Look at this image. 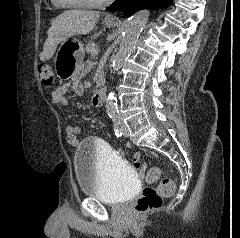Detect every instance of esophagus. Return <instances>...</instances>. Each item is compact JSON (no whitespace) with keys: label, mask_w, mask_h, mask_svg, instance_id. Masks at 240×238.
<instances>
[{"label":"esophagus","mask_w":240,"mask_h":238,"mask_svg":"<svg viewBox=\"0 0 240 238\" xmlns=\"http://www.w3.org/2000/svg\"><path fill=\"white\" fill-rule=\"evenodd\" d=\"M109 20H119L120 15L118 13L110 14L106 17Z\"/></svg>","instance_id":"obj_1"}]
</instances>
